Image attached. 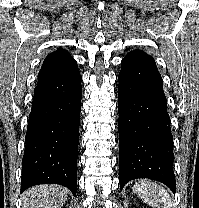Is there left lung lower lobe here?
<instances>
[{
  "instance_id": "0a47b994",
  "label": "left lung lower lobe",
  "mask_w": 199,
  "mask_h": 208,
  "mask_svg": "<svg viewBox=\"0 0 199 208\" xmlns=\"http://www.w3.org/2000/svg\"><path fill=\"white\" fill-rule=\"evenodd\" d=\"M118 79L120 188L149 178L175 192L173 137L157 67L127 55Z\"/></svg>"
}]
</instances>
